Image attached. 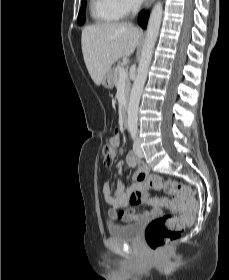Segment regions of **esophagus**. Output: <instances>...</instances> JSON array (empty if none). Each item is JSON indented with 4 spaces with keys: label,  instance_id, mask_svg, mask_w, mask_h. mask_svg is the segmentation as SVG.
Wrapping results in <instances>:
<instances>
[{
    "label": "esophagus",
    "instance_id": "34e87169",
    "mask_svg": "<svg viewBox=\"0 0 229 280\" xmlns=\"http://www.w3.org/2000/svg\"><path fill=\"white\" fill-rule=\"evenodd\" d=\"M154 2V0H147L146 1V5H145V8H149L150 5Z\"/></svg>",
    "mask_w": 229,
    "mask_h": 280
}]
</instances>
